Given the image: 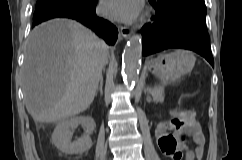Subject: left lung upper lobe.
Here are the masks:
<instances>
[{
    "instance_id": "1",
    "label": "left lung upper lobe",
    "mask_w": 242,
    "mask_h": 160,
    "mask_svg": "<svg viewBox=\"0 0 242 160\" xmlns=\"http://www.w3.org/2000/svg\"><path fill=\"white\" fill-rule=\"evenodd\" d=\"M155 9L171 16H206L204 0H149Z\"/></svg>"
}]
</instances>
